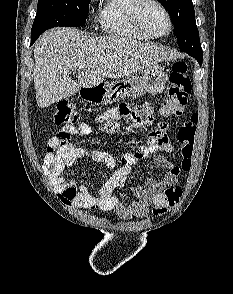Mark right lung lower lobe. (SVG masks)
<instances>
[{"label": "right lung lower lobe", "mask_w": 233, "mask_h": 294, "mask_svg": "<svg viewBox=\"0 0 233 294\" xmlns=\"http://www.w3.org/2000/svg\"><path fill=\"white\" fill-rule=\"evenodd\" d=\"M37 38H31V44L35 42Z\"/></svg>", "instance_id": "obj_1"}]
</instances>
